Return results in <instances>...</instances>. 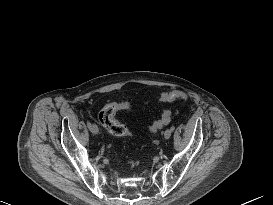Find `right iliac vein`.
<instances>
[{
    "label": "right iliac vein",
    "instance_id": "1",
    "mask_svg": "<svg viewBox=\"0 0 273 205\" xmlns=\"http://www.w3.org/2000/svg\"><path fill=\"white\" fill-rule=\"evenodd\" d=\"M89 129L93 134H98V132H99V129H98L97 125H95V124H91Z\"/></svg>",
    "mask_w": 273,
    "mask_h": 205
}]
</instances>
